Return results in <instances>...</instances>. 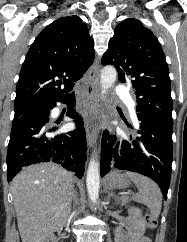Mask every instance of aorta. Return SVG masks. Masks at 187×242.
<instances>
[{
	"instance_id": "762f6f07",
	"label": "aorta",
	"mask_w": 187,
	"mask_h": 242,
	"mask_svg": "<svg viewBox=\"0 0 187 242\" xmlns=\"http://www.w3.org/2000/svg\"><path fill=\"white\" fill-rule=\"evenodd\" d=\"M117 77V71L113 66H106L101 71L100 84L102 98L108 89L114 84ZM88 195L91 201L96 202L99 198L100 187V169L96 153L92 155L86 177Z\"/></svg>"
}]
</instances>
